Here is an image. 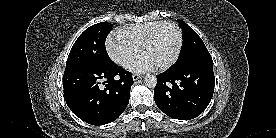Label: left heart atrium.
<instances>
[{
    "instance_id": "left-heart-atrium-1",
    "label": "left heart atrium",
    "mask_w": 276,
    "mask_h": 138,
    "mask_svg": "<svg viewBox=\"0 0 276 138\" xmlns=\"http://www.w3.org/2000/svg\"><path fill=\"white\" fill-rule=\"evenodd\" d=\"M159 66L156 62L147 55H141L130 66V70L137 73H143L148 71H154Z\"/></svg>"
}]
</instances>
